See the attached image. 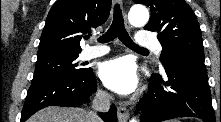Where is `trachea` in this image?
<instances>
[{"mask_svg": "<svg viewBox=\"0 0 221 122\" xmlns=\"http://www.w3.org/2000/svg\"><path fill=\"white\" fill-rule=\"evenodd\" d=\"M116 37L127 47L135 50L147 51L146 49L136 45L133 40L130 38L128 32L124 27V20L122 16V11L120 9L119 4H115L114 6V16L113 22L110 28L107 30L105 34H103L98 41L100 43H107L113 41ZM89 38V37H88Z\"/></svg>", "mask_w": 221, "mask_h": 122, "instance_id": "1", "label": "trachea"}]
</instances>
